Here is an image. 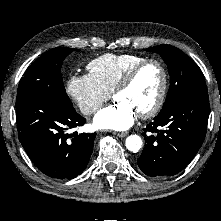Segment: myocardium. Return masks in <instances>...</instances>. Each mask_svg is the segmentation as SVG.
<instances>
[{
  "label": "myocardium",
  "instance_id": "myocardium-1",
  "mask_svg": "<svg viewBox=\"0 0 221 221\" xmlns=\"http://www.w3.org/2000/svg\"><path fill=\"white\" fill-rule=\"evenodd\" d=\"M150 64H154L159 67V69L161 70V74H162V82H161L160 91H159V94H158V97H157L155 103L148 110L138 114V117L141 119H148V118L155 116L161 110V108L165 102V98H166V94H167V90H168L169 75H168V71H167V68L164 65V63L161 62L160 60H157V59L144 60L143 62L137 64L132 69H130L126 73V75L121 79V81L117 84V86L115 87V89L113 91V97L115 98V96L119 92L127 89L134 82V80L136 79L138 74L146 66H148Z\"/></svg>",
  "mask_w": 221,
  "mask_h": 221
}]
</instances>
